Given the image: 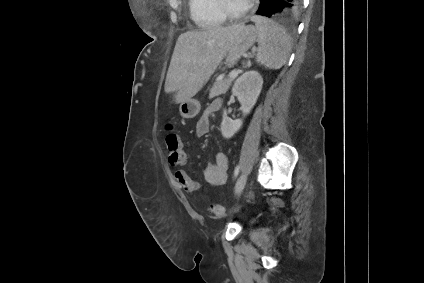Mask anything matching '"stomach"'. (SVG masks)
Returning a JSON list of instances; mask_svg holds the SVG:
<instances>
[{
	"label": "stomach",
	"mask_w": 424,
	"mask_h": 283,
	"mask_svg": "<svg viewBox=\"0 0 424 283\" xmlns=\"http://www.w3.org/2000/svg\"><path fill=\"white\" fill-rule=\"evenodd\" d=\"M258 37L257 29L251 25L245 26L230 44L224 64L231 68L244 53L255 43ZM200 102L192 97L180 103V114L183 118H193L199 114Z\"/></svg>",
	"instance_id": "1"
}]
</instances>
